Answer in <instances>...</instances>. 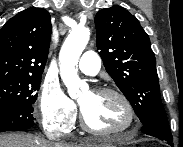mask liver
I'll return each instance as SVG.
<instances>
[{
	"label": "liver",
	"instance_id": "6515ba94",
	"mask_svg": "<svg viewBox=\"0 0 183 147\" xmlns=\"http://www.w3.org/2000/svg\"><path fill=\"white\" fill-rule=\"evenodd\" d=\"M95 142H86L80 145L50 142L43 138L20 133L0 134V147H94Z\"/></svg>",
	"mask_w": 183,
	"mask_h": 147
}]
</instances>
